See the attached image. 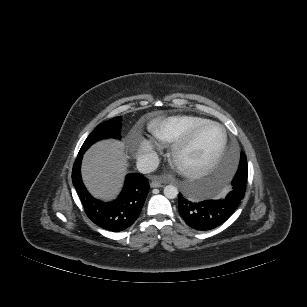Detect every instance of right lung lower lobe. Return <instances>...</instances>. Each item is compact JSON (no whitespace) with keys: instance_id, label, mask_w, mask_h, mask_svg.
<instances>
[{"instance_id":"obj_1","label":"right lung lower lobe","mask_w":307,"mask_h":307,"mask_svg":"<svg viewBox=\"0 0 307 307\" xmlns=\"http://www.w3.org/2000/svg\"><path fill=\"white\" fill-rule=\"evenodd\" d=\"M84 153H78L72 171V182L83 204L86 215L99 227L119 232L131 226L144 205L149 191L148 180L139 173L126 176L119 197L110 203L94 199L81 179V161Z\"/></svg>"}]
</instances>
